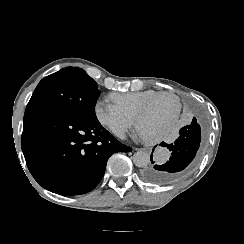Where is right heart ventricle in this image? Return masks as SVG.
<instances>
[{"mask_svg":"<svg viewBox=\"0 0 244 244\" xmlns=\"http://www.w3.org/2000/svg\"><path fill=\"white\" fill-rule=\"evenodd\" d=\"M161 93L162 92L160 91H154V90H146L141 92L126 93V94L115 92V93L108 94V100L131 110L137 115L138 119L140 120L139 114L141 113L140 111L142 109V106L146 102H148L151 98H153L155 95L157 96L160 95Z\"/></svg>","mask_w":244,"mask_h":244,"instance_id":"obj_1","label":"right heart ventricle"}]
</instances>
